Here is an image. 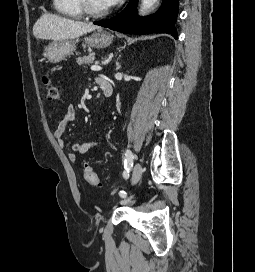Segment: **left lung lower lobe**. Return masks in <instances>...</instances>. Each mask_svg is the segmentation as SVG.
<instances>
[{
    "label": "left lung lower lobe",
    "mask_w": 255,
    "mask_h": 272,
    "mask_svg": "<svg viewBox=\"0 0 255 272\" xmlns=\"http://www.w3.org/2000/svg\"><path fill=\"white\" fill-rule=\"evenodd\" d=\"M138 0H130L127 7L116 17L94 24L128 34L167 33L177 39L174 24L178 15L179 0H163L158 12L149 17H138L135 9Z\"/></svg>",
    "instance_id": "left-lung-lower-lobe-1"
}]
</instances>
